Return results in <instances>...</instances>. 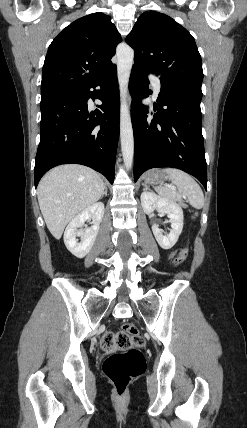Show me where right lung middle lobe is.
<instances>
[{"label": "right lung middle lobe", "instance_id": "obj_1", "mask_svg": "<svg viewBox=\"0 0 247 428\" xmlns=\"http://www.w3.org/2000/svg\"><path fill=\"white\" fill-rule=\"evenodd\" d=\"M76 91H79V90H64V91L49 93V94H45V95H41V96L43 97V96L52 95V94H61V93H69V92H76Z\"/></svg>", "mask_w": 247, "mask_h": 428}]
</instances>
